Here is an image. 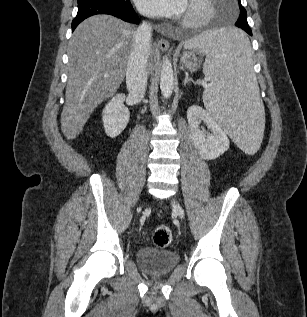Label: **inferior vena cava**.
<instances>
[{
    "instance_id": "602c4592",
    "label": "inferior vena cava",
    "mask_w": 307,
    "mask_h": 317,
    "mask_svg": "<svg viewBox=\"0 0 307 317\" xmlns=\"http://www.w3.org/2000/svg\"><path fill=\"white\" fill-rule=\"evenodd\" d=\"M151 36L152 27L147 22H143L134 32L135 43L128 59L126 72L128 98L133 104L139 103L146 91Z\"/></svg>"
}]
</instances>
